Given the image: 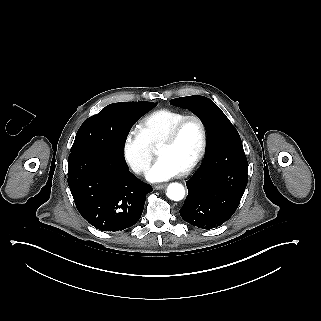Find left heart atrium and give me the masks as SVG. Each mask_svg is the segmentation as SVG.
<instances>
[{
	"mask_svg": "<svg viewBox=\"0 0 321 321\" xmlns=\"http://www.w3.org/2000/svg\"><path fill=\"white\" fill-rule=\"evenodd\" d=\"M182 170L170 156H163L148 170L147 178L151 181H166L179 176Z\"/></svg>",
	"mask_w": 321,
	"mask_h": 321,
	"instance_id": "39dd6f15",
	"label": "left heart atrium"
}]
</instances>
